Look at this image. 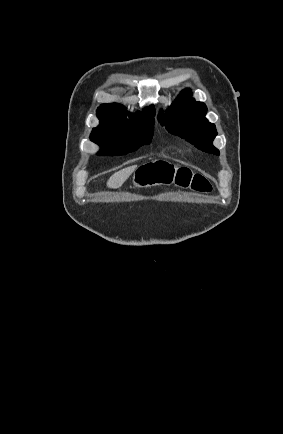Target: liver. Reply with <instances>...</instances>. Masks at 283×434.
Segmentation results:
<instances>
[{
	"mask_svg": "<svg viewBox=\"0 0 283 434\" xmlns=\"http://www.w3.org/2000/svg\"><path fill=\"white\" fill-rule=\"evenodd\" d=\"M138 168L137 165H132L115 172L107 181L109 188H119L127 180V178Z\"/></svg>",
	"mask_w": 283,
	"mask_h": 434,
	"instance_id": "6515ba94",
	"label": "liver"
}]
</instances>
